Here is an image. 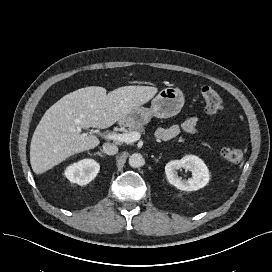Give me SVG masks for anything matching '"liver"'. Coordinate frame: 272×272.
Segmentation results:
<instances>
[{
    "instance_id": "liver-1",
    "label": "liver",
    "mask_w": 272,
    "mask_h": 272,
    "mask_svg": "<svg viewBox=\"0 0 272 272\" xmlns=\"http://www.w3.org/2000/svg\"><path fill=\"white\" fill-rule=\"evenodd\" d=\"M157 91L151 86H124L107 94L103 87L90 86L65 95L45 112L34 131L30 145L33 171L42 174L74 154L95 148L99 139L81 129H105L121 122Z\"/></svg>"
}]
</instances>
